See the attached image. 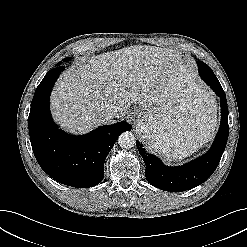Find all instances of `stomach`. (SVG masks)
<instances>
[{"label": "stomach", "instance_id": "stomach-1", "mask_svg": "<svg viewBox=\"0 0 247 247\" xmlns=\"http://www.w3.org/2000/svg\"><path fill=\"white\" fill-rule=\"evenodd\" d=\"M175 62L181 71L164 96L140 113L137 124L138 133L148 140L149 147L167 160L187 157L207 141L216 117L214 97L186 69L181 55ZM203 110L206 115L202 114Z\"/></svg>", "mask_w": 247, "mask_h": 247}]
</instances>
